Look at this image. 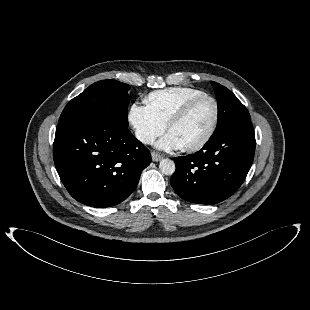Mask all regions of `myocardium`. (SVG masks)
I'll use <instances>...</instances> for the list:
<instances>
[{"mask_svg": "<svg viewBox=\"0 0 310 310\" xmlns=\"http://www.w3.org/2000/svg\"><path fill=\"white\" fill-rule=\"evenodd\" d=\"M202 100H210L213 103V106H214L213 119H212V122H211V125L208 131L198 142L181 147L182 150L186 152H195V151L202 149L208 144V142L213 137L216 131L217 125H218L219 115H220V108H219V104L217 100L214 97L207 95V94L194 97L188 100L185 104H183L180 107V109L170 118V120L166 124L167 130L170 131L173 126H175L177 123L182 121L187 116V114L190 112V110Z\"/></svg>", "mask_w": 310, "mask_h": 310, "instance_id": "f54148a6", "label": "myocardium"}]
</instances>
